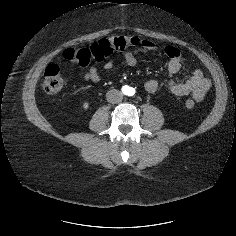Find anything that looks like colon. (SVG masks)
Here are the masks:
<instances>
[{"instance_id":"5ec220e1","label":"colon","mask_w":236,"mask_h":236,"mask_svg":"<svg viewBox=\"0 0 236 236\" xmlns=\"http://www.w3.org/2000/svg\"><path fill=\"white\" fill-rule=\"evenodd\" d=\"M139 39L128 36H111L100 39L89 47L67 48L62 52V58L70 63L87 66L91 61L101 62L115 51H123L139 44ZM64 86V77L56 64L49 65L44 74L43 88L48 94L61 91ZM186 106L192 108L194 102L186 101Z\"/></svg>"}]
</instances>
